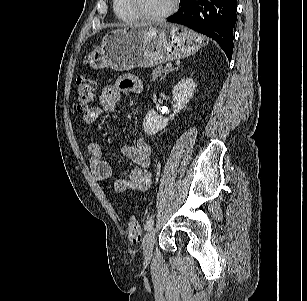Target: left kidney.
<instances>
[{
	"mask_svg": "<svg viewBox=\"0 0 307 301\" xmlns=\"http://www.w3.org/2000/svg\"><path fill=\"white\" fill-rule=\"evenodd\" d=\"M196 84L191 78H183L173 88V101L175 102L173 114L168 118H164L157 114L156 111L150 110L143 121L144 132L148 135H154L164 129L169 120L186 107L189 100L192 98Z\"/></svg>",
	"mask_w": 307,
	"mask_h": 301,
	"instance_id": "5707ae66",
	"label": "left kidney"
}]
</instances>
